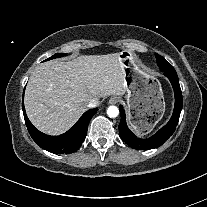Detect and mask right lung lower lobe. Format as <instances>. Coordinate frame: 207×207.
<instances>
[{
    "label": "right lung lower lobe",
    "instance_id": "obj_1",
    "mask_svg": "<svg viewBox=\"0 0 207 207\" xmlns=\"http://www.w3.org/2000/svg\"><path fill=\"white\" fill-rule=\"evenodd\" d=\"M22 109L25 124L35 143L43 149L57 154L73 153L78 150L86 137L88 123L97 111V108H95L85 112L77 123L66 133L59 136H48L37 130L31 124L27 118L23 103Z\"/></svg>",
    "mask_w": 207,
    "mask_h": 207
}]
</instances>
